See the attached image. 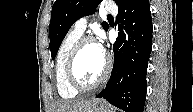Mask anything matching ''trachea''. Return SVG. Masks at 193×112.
I'll return each instance as SVG.
<instances>
[{
    "label": "trachea",
    "instance_id": "obj_1",
    "mask_svg": "<svg viewBox=\"0 0 193 112\" xmlns=\"http://www.w3.org/2000/svg\"><path fill=\"white\" fill-rule=\"evenodd\" d=\"M108 17H109V18H112V16H111V15H108Z\"/></svg>",
    "mask_w": 193,
    "mask_h": 112
}]
</instances>
